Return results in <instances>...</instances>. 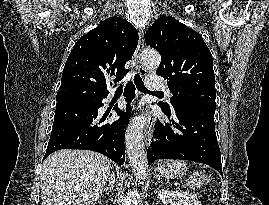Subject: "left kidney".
<instances>
[{"label": "left kidney", "mask_w": 269, "mask_h": 205, "mask_svg": "<svg viewBox=\"0 0 269 205\" xmlns=\"http://www.w3.org/2000/svg\"><path fill=\"white\" fill-rule=\"evenodd\" d=\"M158 199L164 205L172 203L175 199L177 200L176 205H202L195 195L183 191H169L162 189L158 193Z\"/></svg>", "instance_id": "obj_1"}]
</instances>
